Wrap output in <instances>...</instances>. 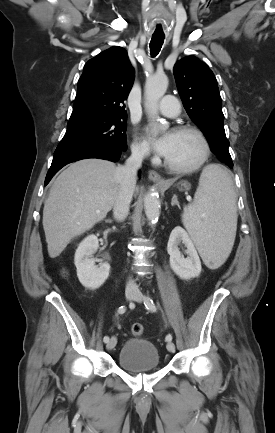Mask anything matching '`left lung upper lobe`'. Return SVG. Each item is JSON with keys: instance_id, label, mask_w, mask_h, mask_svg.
Returning <instances> with one entry per match:
<instances>
[{"instance_id": "1", "label": "left lung upper lobe", "mask_w": 275, "mask_h": 433, "mask_svg": "<svg viewBox=\"0 0 275 433\" xmlns=\"http://www.w3.org/2000/svg\"><path fill=\"white\" fill-rule=\"evenodd\" d=\"M174 77L189 117L202 130L213 153L226 165H233L217 80L207 64L194 56L178 61Z\"/></svg>"}]
</instances>
